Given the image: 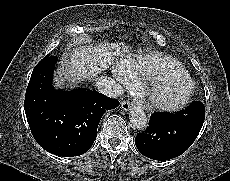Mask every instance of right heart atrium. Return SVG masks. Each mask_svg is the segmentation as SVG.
Instances as JSON below:
<instances>
[{"mask_svg": "<svg viewBox=\"0 0 230 181\" xmlns=\"http://www.w3.org/2000/svg\"><path fill=\"white\" fill-rule=\"evenodd\" d=\"M114 76H115V79H116V81H117V83L119 85H124L128 81H132V80H129L127 78L126 74L123 71H120V70L114 71Z\"/></svg>", "mask_w": 230, "mask_h": 181, "instance_id": "right-heart-atrium-1", "label": "right heart atrium"}]
</instances>
